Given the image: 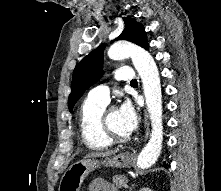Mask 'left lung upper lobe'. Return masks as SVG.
Wrapping results in <instances>:
<instances>
[{
	"label": "left lung upper lobe",
	"mask_w": 221,
	"mask_h": 191,
	"mask_svg": "<svg viewBox=\"0 0 221 191\" xmlns=\"http://www.w3.org/2000/svg\"><path fill=\"white\" fill-rule=\"evenodd\" d=\"M123 20L125 25L124 30L115 40H127L147 49L149 44L143 25L133 18L124 17ZM104 47V44L100 45L85 56L75 67L72 77L71 93L68 99L70 112L85 90L103 76Z\"/></svg>",
	"instance_id": "left-lung-upper-lobe-1"
}]
</instances>
